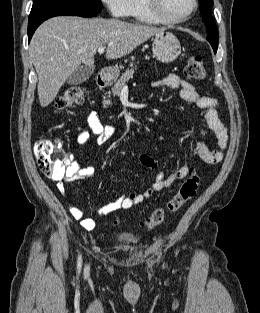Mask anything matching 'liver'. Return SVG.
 <instances>
[{"instance_id": "obj_1", "label": "liver", "mask_w": 260, "mask_h": 313, "mask_svg": "<svg viewBox=\"0 0 260 313\" xmlns=\"http://www.w3.org/2000/svg\"><path fill=\"white\" fill-rule=\"evenodd\" d=\"M163 31V28L100 17L61 16L45 21L35 31L29 47L38 74L40 105L48 106L81 64L92 67L99 47L107 45L106 59H118Z\"/></svg>"}]
</instances>
